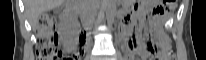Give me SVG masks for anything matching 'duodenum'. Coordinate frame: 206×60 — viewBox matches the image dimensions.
Here are the masks:
<instances>
[{"label":"duodenum","mask_w":206,"mask_h":60,"mask_svg":"<svg viewBox=\"0 0 206 60\" xmlns=\"http://www.w3.org/2000/svg\"><path fill=\"white\" fill-rule=\"evenodd\" d=\"M66 13L70 14V13H73L75 11V7L74 5L70 4V5H67L66 6V9H65ZM77 23L78 24H81L82 23V20L81 19H78L77 20ZM85 28L86 29H90V25L88 23L85 24ZM122 28V27H121Z\"/></svg>","instance_id":"obj_1"}]
</instances>
